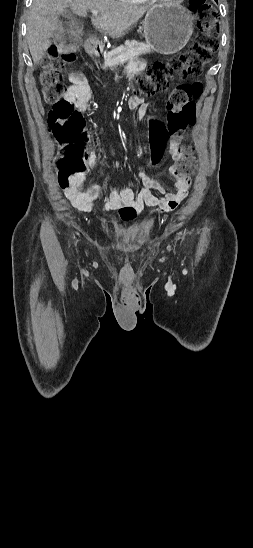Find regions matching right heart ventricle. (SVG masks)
<instances>
[{"label":"right heart ventricle","instance_id":"obj_1","mask_svg":"<svg viewBox=\"0 0 253 548\" xmlns=\"http://www.w3.org/2000/svg\"><path fill=\"white\" fill-rule=\"evenodd\" d=\"M119 1L127 4H144V3H147L149 0H119Z\"/></svg>","mask_w":253,"mask_h":548}]
</instances>
